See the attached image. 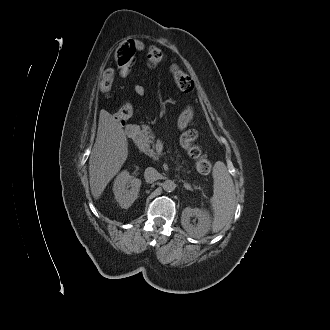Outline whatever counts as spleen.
<instances>
[{
	"mask_svg": "<svg viewBox=\"0 0 330 330\" xmlns=\"http://www.w3.org/2000/svg\"><path fill=\"white\" fill-rule=\"evenodd\" d=\"M214 194L210 199L213 210L212 231L219 232L229 222L236 205V194L233 180L226 165L217 161L212 172Z\"/></svg>",
	"mask_w": 330,
	"mask_h": 330,
	"instance_id": "spleen-1",
	"label": "spleen"
}]
</instances>
